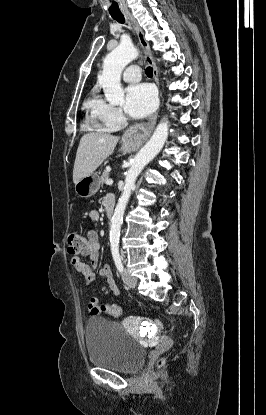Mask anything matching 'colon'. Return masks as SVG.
Masks as SVG:
<instances>
[{
	"label": "colon",
	"instance_id": "colon-1",
	"mask_svg": "<svg viewBox=\"0 0 266 415\" xmlns=\"http://www.w3.org/2000/svg\"><path fill=\"white\" fill-rule=\"evenodd\" d=\"M87 246V239L79 232H72L68 236V252L71 254H78L85 249ZM100 312H105L110 316L118 317L121 316L123 313L122 308L116 304H109V305H100L99 306ZM153 324L160 328L161 322L159 320H154ZM162 360L159 361V365L162 364Z\"/></svg>",
	"mask_w": 266,
	"mask_h": 415
}]
</instances>
